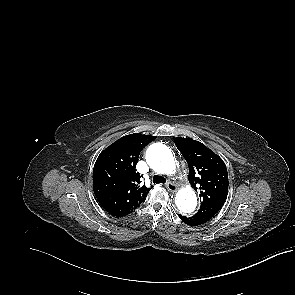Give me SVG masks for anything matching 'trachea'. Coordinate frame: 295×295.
<instances>
[{"label":"trachea","instance_id":"obj_1","mask_svg":"<svg viewBox=\"0 0 295 295\" xmlns=\"http://www.w3.org/2000/svg\"><path fill=\"white\" fill-rule=\"evenodd\" d=\"M166 182V179L163 177V176H160V175H154L153 177V183H165Z\"/></svg>","mask_w":295,"mask_h":295}]
</instances>
